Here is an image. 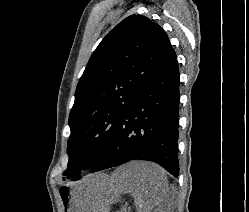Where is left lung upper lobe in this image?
Masks as SVG:
<instances>
[{"instance_id":"1","label":"left lung upper lobe","mask_w":249,"mask_h":212,"mask_svg":"<svg viewBox=\"0 0 249 212\" xmlns=\"http://www.w3.org/2000/svg\"><path fill=\"white\" fill-rule=\"evenodd\" d=\"M170 49L164 30L141 15L125 18L104 37L76 88L64 176L91 170L102 159L119 119Z\"/></svg>"}]
</instances>
